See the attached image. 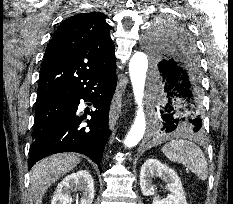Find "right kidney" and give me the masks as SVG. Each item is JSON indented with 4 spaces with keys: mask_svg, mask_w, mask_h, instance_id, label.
Returning a JSON list of instances; mask_svg holds the SVG:
<instances>
[{
    "mask_svg": "<svg viewBox=\"0 0 233 204\" xmlns=\"http://www.w3.org/2000/svg\"><path fill=\"white\" fill-rule=\"evenodd\" d=\"M73 191H80V204H91L93 202L95 196L94 181L88 171L79 170L67 175L58 184L51 204H70V194Z\"/></svg>",
    "mask_w": 233,
    "mask_h": 204,
    "instance_id": "right-kidney-1",
    "label": "right kidney"
}]
</instances>
